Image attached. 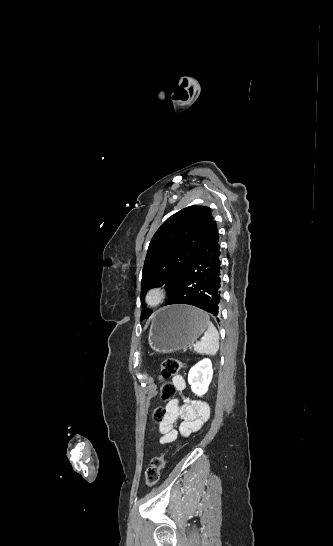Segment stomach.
Segmentation results:
<instances>
[{
  "label": "stomach",
  "mask_w": 333,
  "mask_h": 546,
  "mask_svg": "<svg viewBox=\"0 0 333 546\" xmlns=\"http://www.w3.org/2000/svg\"><path fill=\"white\" fill-rule=\"evenodd\" d=\"M208 328L206 313L184 304L157 311L149 330V345L160 353H173L191 346Z\"/></svg>",
  "instance_id": "0dacf381"
}]
</instances>
